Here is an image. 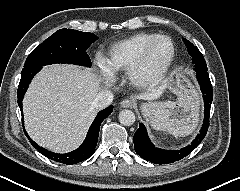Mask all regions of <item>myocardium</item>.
Listing matches in <instances>:
<instances>
[{"mask_svg": "<svg viewBox=\"0 0 240 191\" xmlns=\"http://www.w3.org/2000/svg\"><path fill=\"white\" fill-rule=\"evenodd\" d=\"M161 40H167L171 44V54L164 66L151 76H144L143 70L148 61L149 55L154 46ZM176 56V45L171 37L167 35H158L152 39L142 50L136 61L126 71L128 81L135 87L147 88L158 85L168 74Z\"/></svg>", "mask_w": 240, "mask_h": 191, "instance_id": "obj_1", "label": "myocardium"}]
</instances>
